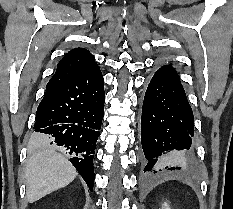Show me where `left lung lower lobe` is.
Wrapping results in <instances>:
<instances>
[{
    "mask_svg": "<svg viewBox=\"0 0 233 209\" xmlns=\"http://www.w3.org/2000/svg\"><path fill=\"white\" fill-rule=\"evenodd\" d=\"M194 118L178 74L161 66L145 93L141 116L144 172L175 170L191 164Z\"/></svg>",
    "mask_w": 233,
    "mask_h": 209,
    "instance_id": "1",
    "label": "left lung lower lobe"
}]
</instances>
